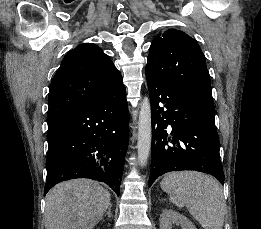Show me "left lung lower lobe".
Masks as SVG:
<instances>
[{"label":"left lung lower lobe","mask_w":261,"mask_h":229,"mask_svg":"<svg viewBox=\"0 0 261 229\" xmlns=\"http://www.w3.org/2000/svg\"><path fill=\"white\" fill-rule=\"evenodd\" d=\"M146 77L152 110L149 187L164 173L179 170L207 173L223 183L212 91L148 72Z\"/></svg>","instance_id":"1"}]
</instances>
